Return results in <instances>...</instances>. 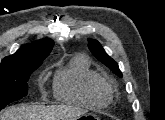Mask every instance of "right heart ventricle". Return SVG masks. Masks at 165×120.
<instances>
[{
	"instance_id": "1",
	"label": "right heart ventricle",
	"mask_w": 165,
	"mask_h": 120,
	"mask_svg": "<svg viewBox=\"0 0 165 120\" xmlns=\"http://www.w3.org/2000/svg\"><path fill=\"white\" fill-rule=\"evenodd\" d=\"M53 90L60 101L94 108L104 107L112 99L111 85L81 55L57 70Z\"/></svg>"
}]
</instances>
